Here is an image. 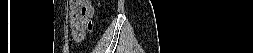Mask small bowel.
<instances>
[{
    "label": "small bowel",
    "mask_w": 253,
    "mask_h": 53,
    "mask_svg": "<svg viewBox=\"0 0 253 53\" xmlns=\"http://www.w3.org/2000/svg\"><path fill=\"white\" fill-rule=\"evenodd\" d=\"M88 5L91 7V10H92V13H91V16L93 15V8H92V5L91 3L88 2ZM71 34L73 36V38L77 41H80L82 40L85 35H86V30H76V29H72L71 30Z\"/></svg>",
    "instance_id": "c3829d8e"
}]
</instances>
